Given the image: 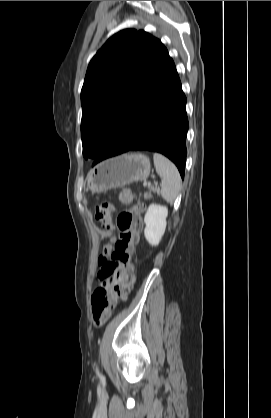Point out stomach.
<instances>
[{
	"label": "stomach",
	"instance_id": "stomach-1",
	"mask_svg": "<svg viewBox=\"0 0 271 418\" xmlns=\"http://www.w3.org/2000/svg\"><path fill=\"white\" fill-rule=\"evenodd\" d=\"M147 156L134 153L107 159L90 170L87 186L92 193H101L127 184L145 181L150 174Z\"/></svg>",
	"mask_w": 271,
	"mask_h": 418
}]
</instances>
